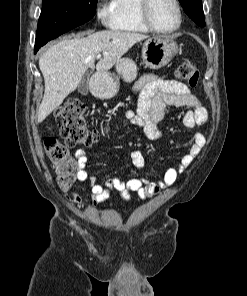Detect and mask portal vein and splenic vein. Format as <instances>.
<instances>
[{
    "label": "portal vein and splenic vein",
    "instance_id": "18ae733b",
    "mask_svg": "<svg viewBox=\"0 0 247 296\" xmlns=\"http://www.w3.org/2000/svg\"><path fill=\"white\" fill-rule=\"evenodd\" d=\"M101 56H102L101 54H98V55H97V58L99 59V58H101Z\"/></svg>",
    "mask_w": 247,
    "mask_h": 296
}]
</instances>
